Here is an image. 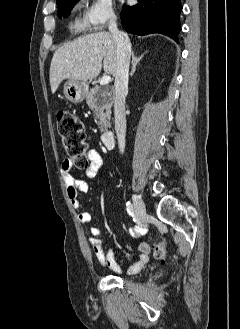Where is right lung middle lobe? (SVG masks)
<instances>
[{
    "label": "right lung middle lobe",
    "mask_w": 240,
    "mask_h": 329,
    "mask_svg": "<svg viewBox=\"0 0 240 329\" xmlns=\"http://www.w3.org/2000/svg\"><path fill=\"white\" fill-rule=\"evenodd\" d=\"M79 0H64L57 4L58 6V17H67L72 9L74 3H77Z\"/></svg>",
    "instance_id": "1"
}]
</instances>
